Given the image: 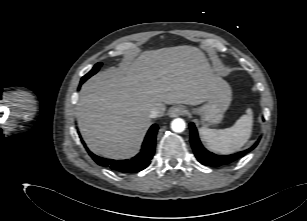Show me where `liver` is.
Segmentation results:
<instances>
[{"label":"liver","instance_id":"obj_1","mask_svg":"<svg viewBox=\"0 0 307 221\" xmlns=\"http://www.w3.org/2000/svg\"><path fill=\"white\" fill-rule=\"evenodd\" d=\"M221 82L196 47L145 51L82 86L76 106L78 127L92 152L129 158L151 126V110L158 109L163 116L166 104L198 105L212 97Z\"/></svg>","mask_w":307,"mask_h":221}]
</instances>
